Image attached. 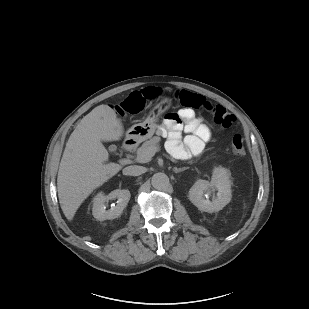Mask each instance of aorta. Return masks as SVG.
Masks as SVG:
<instances>
[{
  "label": "aorta",
  "mask_w": 309,
  "mask_h": 309,
  "mask_svg": "<svg viewBox=\"0 0 309 309\" xmlns=\"http://www.w3.org/2000/svg\"><path fill=\"white\" fill-rule=\"evenodd\" d=\"M152 186L157 190H163L169 185V178L165 173H155L151 178Z\"/></svg>",
  "instance_id": "aorta-1"
}]
</instances>
